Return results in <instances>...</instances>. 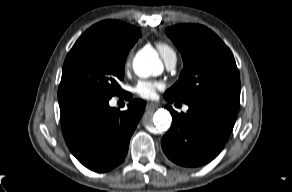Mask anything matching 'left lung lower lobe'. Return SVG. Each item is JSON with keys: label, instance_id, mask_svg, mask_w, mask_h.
Returning a JSON list of instances; mask_svg holds the SVG:
<instances>
[{"label": "left lung lower lobe", "instance_id": "left-lung-lower-lobe-1", "mask_svg": "<svg viewBox=\"0 0 292 192\" xmlns=\"http://www.w3.org/2000/svg\"><path fill=\"white\" fill-rule=\"evenodd\" d=\"M172 103L174 99L165 97ZM186 114L171 112L173 123L161 140L165 155L177 165L198 167L213 160L227 142L239 104L225 101L189 103Z\"/></svg>", "mask_w": 292, "mask_h": 192}]
</instances>
